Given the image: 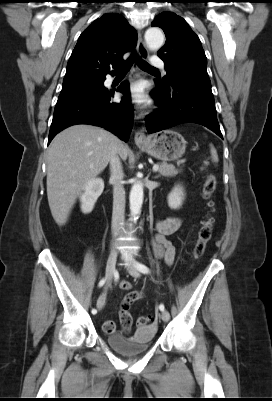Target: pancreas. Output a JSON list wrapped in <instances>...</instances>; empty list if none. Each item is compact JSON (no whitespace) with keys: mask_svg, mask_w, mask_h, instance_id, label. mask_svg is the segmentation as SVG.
<instances>
[{"mask_svg":"<svg viewBox=\"0 0 272 401\" xmlns=\"http://www.w3.org/2000/svg\"><path fill=\"white\" fill-rule=\"evenodd\" d=\"M159 173L164 177H172L179 173V170L172 164L162 163L159 166Z\"/></svg>","mask_w":272,"mask_h":401,"instance_id":"obj_1","label":"pancreas"}]
</instances>
